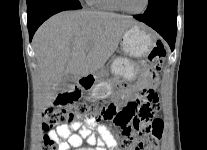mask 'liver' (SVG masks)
Returning a JSON list of instances; mask_svg holds the SVG:
<instances>
[{
  "mask_svg": "<svg viewBox=\"0 0 207 150\" xmlns=\"http://www.w3.org/2000/svg\"><path fill=\"white\" fill-rule=\"evenodd\" d=\"M135 24L130 16L91 10L64 11L42 24L33 38L42 108L51 105L65 75L96 74Z\"/></svg>",
  "mask_w": 207,
  "mask_h": 150,
  "instance_id": "6515ba94",
  "label": "liver"
}]
</instances>
